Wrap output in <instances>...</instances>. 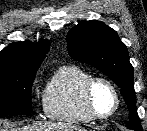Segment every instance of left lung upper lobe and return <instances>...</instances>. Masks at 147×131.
Returning <instances> with one entry per match:
<instances>
[{
    "label": "left lung upper lobe",
    "mask_w": 147,
    "mask_h": 131,
    "mask_svg": "<svg viewBox=\"0 0 147 131\" xmlns=\"http://www.w3.org/2000/svg\"><path fill=\"white\" fill-rule=\"evenodd\" d=\"M67 42L72 58L99 69L121 88L129 110L127 127L142 131L136 110L134 70L129 62L127 47L117 33L103 22L83 21L69 31Z\"/></svg>",
    "instance_id": "obj_1"
}]
</instances>
